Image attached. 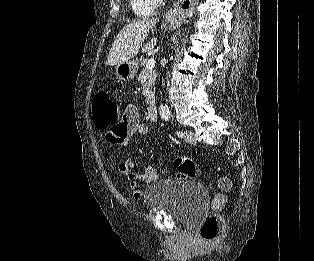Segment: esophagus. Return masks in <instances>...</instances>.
I'll list each match as a JSON object with an SVG mask.
<instances>
[{
  "label": "esophagus",
  "instance_id": "34e87169",
  "mask_svg": "<svg viewBox=\"0 0 314 261\" xmlns=\"http://www.w3.org/2000/svg\"><path fill=\"white\" fill-rule=\"evenodd\" d=\"M193 1H195V0H193ZM191 10H193L194 9V7H191L190 8ZM177 12H180V10L178 9H174V10H171V11H169L168 13H167V16H169V15H175V14H177Z\"/></svg>",
  "mask_w": 314,
  "mask_h": 261
}]
</instances>
